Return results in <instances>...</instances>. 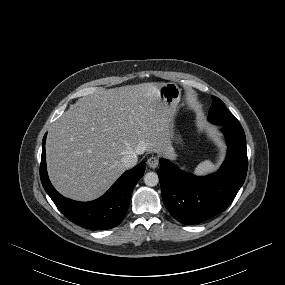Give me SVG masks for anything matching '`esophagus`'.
<instances>
[{
  "label": "esophagus",
  "mask_w": 285,
  "mask_h": 285,
  "mask_svg": "<svg viewBox=\"0 0 285 285\" xmlns=\"http://www.w3.org/2000/svg\"><path fill=\"white\" fill-rule=\"evenodd\" d=\"M147 165L152 168V169H155L158 167L159 165V160L157 157H150L148 160H147Z\"/></svg>",
  "instance_id": "obj_1"
}]
</instances>
